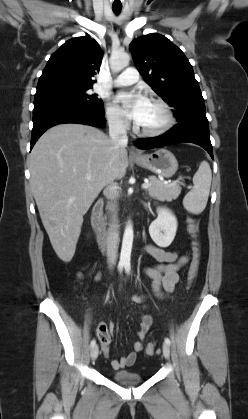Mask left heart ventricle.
<instances>
[{
	"mask_svg": "<svg viewBox=\"0 0 248 419\" xmlns=\"http://www.w3.org/2000/svg\"><path fill=\"white\" fill-rule=\"evenodd\" d=\"M164 122V113L159 106L149 102L144 118L138 125L141 128L153 129L160 126Z\"/></svg>",
	"mask_w": 248,
	"mask_h": 419,
	"instance_id": "1",
	"label": "left heart ventricle"
}]
</instances>
